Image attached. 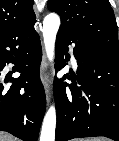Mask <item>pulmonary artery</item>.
Wrapping results in <instances>:
<instances>
[{"instance_id": "obj_1", "label": "pulmonary artery", "mask_w": 119, "mask_h": 141, "mask_svg": "<svg viewBox=\"0 0 119 141\" xmlns=\"http://www.w3.org/2000/svg\"><path fill=\"white\" fill-rule=\"evenodd\" d=\"M71 53H72V52H71ZM71 60H72L73 65L76 66L77 63H76V60H75V57H74L73 54L71 55Z\"/></svg>"}]
</instances>
